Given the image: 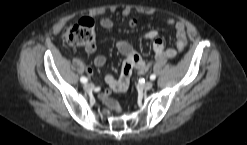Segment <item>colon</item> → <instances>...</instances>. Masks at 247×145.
<instances>
[{"label":"colon","mask_w":247,"mask_h":145,"mask_svg":"<svg viewBox=\"0 0 247 145\" xmlns=\"http://www.w3.org/2000/svg\"><path fill=\"white\" fill-rule=\"evenodd\" d=\"M136 21H131L134 25ZM63 40L66 44L74 47H87L94 43L95 40V27L94 21L91 18L84 17L68 26L63 32ZM138 63V57L135 55L129 61L123 62L122 77L127 80L131 74L130 70L132 64Z\"/></svg>","instance_id":"obj_1"}]
</instances>
